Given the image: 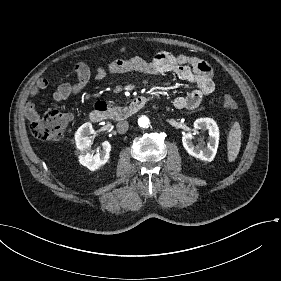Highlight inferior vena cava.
<instances>
[{
    "label": "inferior vena cava",
    "instance_id": "602c4592",
    "mask_svg": "<svg viewBox=\"0 0 281 281\" xmlns=\"http://www.w3.org/2000/svg\"><path fill=\"white\" fill-rule=\"evenodd\" d=\"M128 125L129 123L126 120L118 121L116 124L117 132L120 134H125L126 131L128 130Z\"/></svg>",
    "mask_w": 281,
    "mask_h": 281
}]
</instances>
